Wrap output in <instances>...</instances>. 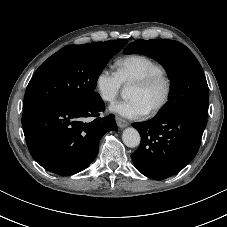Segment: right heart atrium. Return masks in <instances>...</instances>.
<instances>
[{
	"label": "right heart atrium",
	"mask_w": 227,
	"mask_h": 227,
	"mask_svg": "<svg viewBox=\"0 0 227 227\" xmlns=\"http://www.w3.org/2000/svg\"><path fill=\"white\" fill-rule=\"evenodd\" d=\"M94 87L101 100L111 103L118 96L122 83L115 71L104 67L96 74Z\"/></svg>",
	"instance_id": "right-heart-atrium-1"
}]
</instances>
